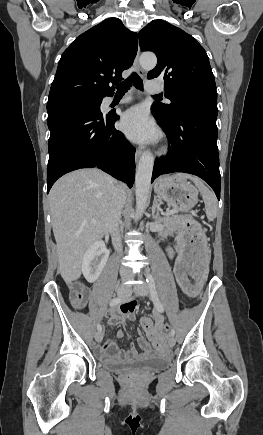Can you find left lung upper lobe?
I'll list each match as a JSON object with an SVG mask.
<instances>
[{"mask_svg":"<svg viewBox=\"0 0 263 435\" xmlns=\"http://www.w3.org/2000/svg\"><path fill=\"white\" fill-rule=\"evenodd\" d=\"M142 51L157 56L147 78H163L170 104L154 103L152 112L172 122L179 114L217 117V91L209 58L195 38L163 20H154L139 32Z\"/></svg>","mask_w":263,"mask_h":435,"instance_id":"1","label":"left lung upper lobe"}]
</instances>
